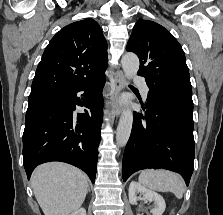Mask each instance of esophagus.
Returning <instances> with one entry per match:
<instances>
[{"instance_id": "obj_1", "label": "esophagus", "mask_w": 223, "mask_h": 215, "mask_svg": "<svg viewBox=\"0 0 223 215\" xmlns=\"http://www.w3.org/2000/svg\"><path fill=\"white\" fill-rule=\"evenodd\" d=\"M125 87V78L124 74L121 71L116 72L115 74V89L111 93L110 97V109L111 113L115 116H119L122 111V105L119 101V94Z\"/></svg>"}]
</instances>
